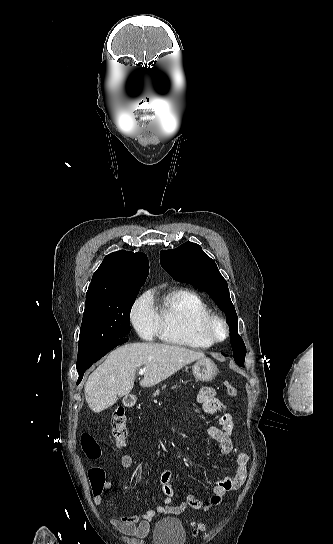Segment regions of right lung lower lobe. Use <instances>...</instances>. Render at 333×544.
I'll list each match as a JSON object with an SVG mask.
<instances>
[{"mask_svg": "<svg viewBox=\"0 0 333 544\" xmlns=\"http://www.w3.org/2000/svg\"><path fill=\"white\" fill-rule=\"evenodd\" d=\"M128 339L127 338H122V339H118L116 341H114V343L112 345H110L107 349L99 352L98 354H96L94 357H92L91 359H89L87 362H85L83 365L81 366H78L77 367V371H78V374H79V378L77 380V384H79L83 378V374L84 372L93 364L95 363L96 361H98L101 357H103L104 355H106L109 351H111L113 348H115L116 346L120 345V344H123L125 342H127Z\"/></svg>", "mask_w": 333, "mask_h": 544, "instance_id": "1", "label": "right lung lower lobe"}]
</instances>
